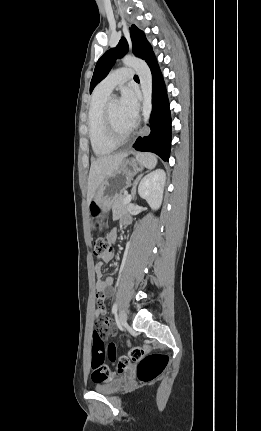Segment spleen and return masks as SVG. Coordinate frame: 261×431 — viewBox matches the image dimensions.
<instances>
[{"label": "spleen", "mask_w": 261, "mask_h": 431, "mask_svg": "<svg viewBox=\"0 0 261 431\" xmlns=\"http://www.w3.org/2000/svg\"><path fill=\"white\" fill-rule=\"evenodd\" d=\"M140 162L147 168L153 169L156 166L157 159L152 154H140L138 155Z\"/></svg>", "instance_id": "obj_1"}]
</instances>
